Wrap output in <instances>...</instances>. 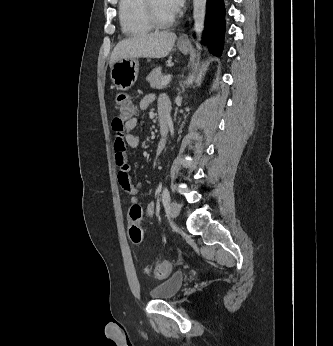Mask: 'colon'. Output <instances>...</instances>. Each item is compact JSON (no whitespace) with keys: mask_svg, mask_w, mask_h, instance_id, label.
<instances>
[{"mask_svg":"<svg viewBox=\"0 0 333 346\" xmlns=\"http://www.w3.org/2000/svg\"><path fill=\"white\" fill-rule=\"evenodd\" d=\"M116 105L119 114V119L121 121L129 119L135 115L136 107L134 101L125 93H119L116 96ZM129 238L131 242L135 245H139L143 240V231L139 226V221L142 216V209L139 205H134L129 210ZM173 268L171 261L163 260L158 263L153 268H147L148 273H152L156 278H165L168 276Z\"/></svg>","mask_w":333,"mask_h":346,"instance_id":"obj_1","label":"colon"}]
</instances>
